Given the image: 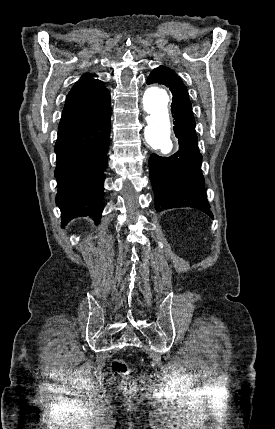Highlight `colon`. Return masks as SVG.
<instances>
[{"label":"colon","instance_id":"obj_1","mask_svg":"<svg viewBox=\"0 0 275 429\" xmlns=\"http://www.w3.org/2000/svg\"><path fill=\"white\" fill-rule=\"evenodd\" d=\"M113 371L123 377L121 389L125 394H132L136 389V384L131 378V369L127 363L122 360H114L112 363Z\"/></svg>","mask_w":275,"mask_h":429}]
</instances>
